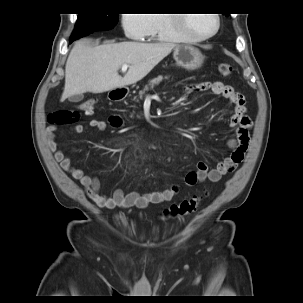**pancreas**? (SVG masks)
<instances>
[{"label":"pancreas","mask_w":303,"mask_h":303,"mask_svg":"<svg viewBox=\"0 0 303 303\" xmlns=\"http://www.w3.org/2000/svg\"><path fill=\"white\" fill-rule=\"evenodd\" d=\"M164 79H169V76L159 75L158 77L149 80L148 84L145 85V87L141 91H139L138 96H134L133 100L139 102V99H142L145 92H147L149 89H153L156 85H159V83L162 82Z\"/></svg>","instance_id":"1"}]
</instances>
